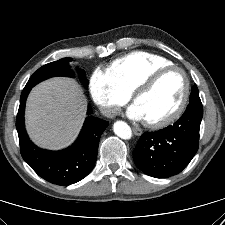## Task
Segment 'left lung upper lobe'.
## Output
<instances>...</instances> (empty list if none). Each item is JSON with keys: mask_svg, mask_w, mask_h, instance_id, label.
I'll use <instances>...</instances> for the list:
<instances>
[{"mask_svg": "<svg viewBox=\"0 0 225 225\" xmlns=\"http://www.w3.org/2000/svg\"><path fill=\"white\" fill-rule=\"evenodd\" d=\"M200 98H199V92H198V88L196 85H194L192 87V90H191V95H190V101L189 102H193V101H199Z\"/></svg>", "mask_w": 225, "mask_h": 225, "instance_id": "obj_1", "label": "left lung upper lobe"}]
</instances>
